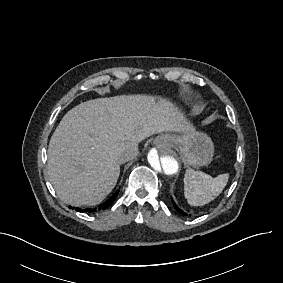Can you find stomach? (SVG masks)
I'll return each instance as SVG.
<instances>
[{
	"mask_svg": "<svg viewBox=\"0 0 283 283\" xmlns=\"http://www.w3.org/2000/svg\"><path fill=\"white\" fill-rule=\"evenodd\" d=\"M162 136L167 137V145L161 146L158 144V139ZM153 145L159 150H164L169 147H174L178 150L181 160L186 165L191 166H206L213 157V143L211 139L204 133L191 132L180 135H159L153 140Z\"/></svg>",
	"mask_w": 283,
	"mask_h": 283,
	"instance_id": "1",
	"label": "stomach"
}]
</instances>
